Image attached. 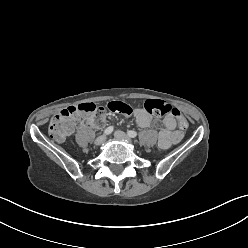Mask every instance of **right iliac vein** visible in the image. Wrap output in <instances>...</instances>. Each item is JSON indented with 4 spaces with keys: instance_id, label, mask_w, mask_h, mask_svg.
<instances>
[{
    "instance_id": "right-iliac-vein-1",
    "label": "right iliac vein",
    "mask_w": 248,
    "mask_h": 248,
    "mask_svg": "<svg viewBox=\"0 0 248 248\" xmlns=\"http://www.w3.org/2000/svg\"><path fill=\"white\" fill-rule=\"evenodd\" d=\"M105 140H106V136H105V135L100 136V137H98V138L95 140L94 144H95L96 146H100V145H102V144L105 142Z\"/></svg>"
}]
</instances>
